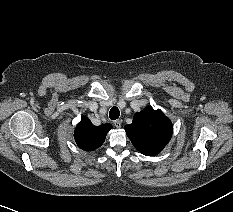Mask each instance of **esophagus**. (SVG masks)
Wrapping results in <instances>:
<instances>
[{
    "mask_svg": "<svg viewBox=\"0 0 233 212\" xmlns=\"http://www.w3.org/2000/svg\"><path fill=\"white\" fill-rule=\"evenodd\" d=\"M121 122L122 121L118 119V120L113 121V124L116 128H121V125H122Z\"/></svg>",
    "mask_w": 233,
    "mask_h": 212,
    "instance_id": "esophagus-1",
    "label": "esophagus"
}]
</instances>
